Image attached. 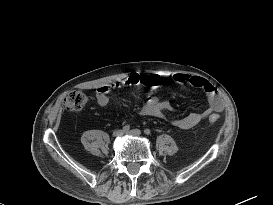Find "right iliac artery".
Listing matches in <instances>:
<instances>
[{"instance_id": "right-iliac-artery-1", "label": "right iliac artery", "mask_w": 273, "mask_h": 205, "mask_svg": "<svg viewBox=\"0 0 273 205\" xmlns=\"http://www.w3.org/2000/svg\"><path fill=\"white\" fill-rule=\"evenodd\" d=\"M122 129H123V131L126 132V131L130 130V125L127 124V125L123 126Z\"/></svg>"}]
</instances>
